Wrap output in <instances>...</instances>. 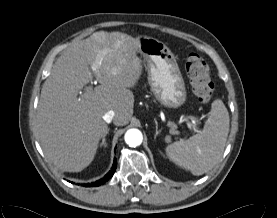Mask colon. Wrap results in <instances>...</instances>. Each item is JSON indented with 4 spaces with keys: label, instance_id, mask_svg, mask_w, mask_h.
Instances as JSON below:
<instances>
[{
    "label": "colon",
    "instance_id": "obj_1",
    "mask_svg": "<svg viewBox=\"0 0 277 218\" xmlns=\"http://www.w3.org/2000/svg\"><path fill=\"white\" fill-rule=\"evenodd\" d=\"M185 67L194 95L203 103L209 102L214 93V84L205 59L197 53H190Z\"/></svg>",
    "mask_w": 277,
    "mask_h": 218
}]
</instances>
